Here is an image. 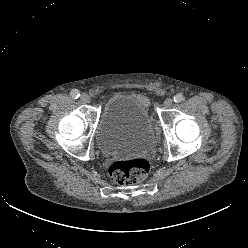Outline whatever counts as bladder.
<instances>
[{"label": "bladder", "mask_w": 248, "mask_h": 248, "mask_svg": "<svg viewBox=\"0 0 248 248\" xmlns=\"http://www.w3.org/2000/svg\"><path fill=\"white\" fill-rule=\"evenodd\" d=\"M156 139L145 98L123 92L109 97L95 130L96 144L103 153H145L154 148Z\"/></svg>", "instance_id": "obj_1"}]
</instances>
